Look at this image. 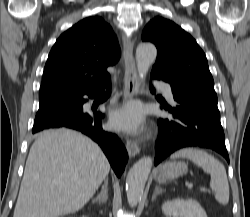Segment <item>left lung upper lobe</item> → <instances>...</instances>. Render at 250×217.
<instances>
[{"mask_svg": "<svg viewBox=\"0 0 250 217\" xmlns=\"http://www.w3.org/2000/svg\"><path fill=\"white\" fill-rule=\"evenodd\" d=\"M142 40L157 47L151 76L161 78L171 87L214 91L204 52L193 37L174 22L155 17L144 28Z\"/></svg>", "mask_w": 250, "mask_h": 217, "instance_id": "left-lung-upper-lobe-1", "label": "left lung upper lobe"}]
</instances>
